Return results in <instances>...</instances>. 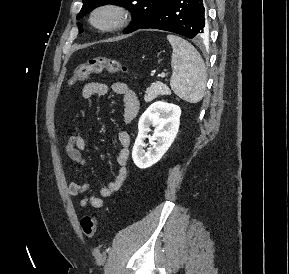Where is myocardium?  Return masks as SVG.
Segmentation results:
<instances>
[{
	"label": "myocardium",
	"mask_w": 289,
	"mask_h": 274,
	"mask_svg": "<svg viewBox=\"0 0 289 274\" xmlns=\"http://www.w3.org/2000/svg\"><path fill=\"white\" fill-rule=\"evenodd\" d=\"M108 15L109 20L105 24H100L97 18L100 15ZM131 19V13L128 7L117 2H103L96 5L89 13L90 25L103 33H112L124 28Z\"/></svg>",
	"instance_id": "myocardium-1"
}]
</instances>
